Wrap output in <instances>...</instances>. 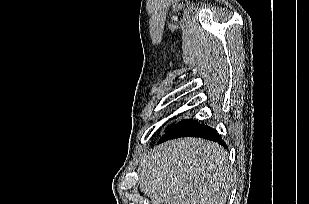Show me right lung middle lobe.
Wrapping results in <instances>:
<instances>
[{
	"label": "right lung middle lobe",
	"instance_id": "1",
	"mask_svg": "<svg viewBox=\"0 0 309 204\" xmlns=\"http://www.w3.org/2000/svg\"><path fill=\"white\" fill-rule=\"evenodd\" d=\"M171 126H172V125H170V126L167 128V130H169V129L171 128Z\"/></svg>",
	"mask_w": 309,
	"mask_h": 204
}]
</instances>
